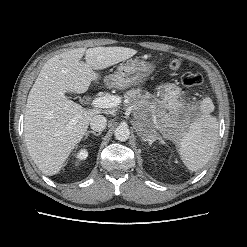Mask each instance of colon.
Instances as JSON below:
<instances>
[{"label": "colon", "mask_w": 247, "mask_h": 247, "mask_svg": "<svg viewBox=\"0 0 247 247\" xmlns=\"http://www.w3.org/2000/svg\"><path fill=\"white\" fill-rule=\"evenodd\" d=\"M187 62L179 58H171L167 61V67L172 75H178L186 67ZM202 82V76L198 73L185 72L182 75V84L185 87H194Z\"/></svg>", "instance_id": "colon-1"}]
</instances>
